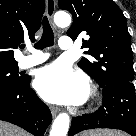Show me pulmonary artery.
Masks as SVG:
<instances>
[{"instance_id": "pulmonary-artery-1", "label": "pulmonary artery", "mask_w": 136, "mask_h": 136, "mask_svg": "<svg viewBox=\"0 0 136 136\" xmlns=\"http://www.w3.org/2000/svg\"><path fill=\"white\" fill-rule=\"evenodd\" d=\"M59 46L63 50H69L73 47V42L71 38L64 36L60 38ZM29 51L31 54L25 57H22L21 60L19 61V66L21 68L32 67L34 65L44 62L48 58L47 54L41 51L35 50L33 48H29Z\"/></svg>"}]
</instances>
